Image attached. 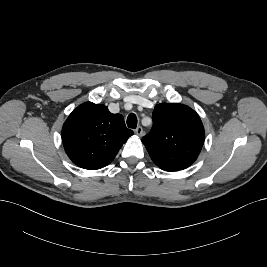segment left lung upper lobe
Here are the masks:
<instances>
[{"label": "left lung upper lobe", "instance_id": "left-lung-upper-lobe-1", "mask_svg": "<svg viewBox=\"0 0 267 267\" xmlns=\"http://www.w3.org/2000/svg\"><path fill=\"white\" fill-rule=\"evenodd\" d=\"M153 128L142 138L153 162L165 171L189 167L204 144L201 119L190 107L162 103L153 111Z\"/></svg>", "mask_w": 267, "mask_h": 267}]
</instances>
